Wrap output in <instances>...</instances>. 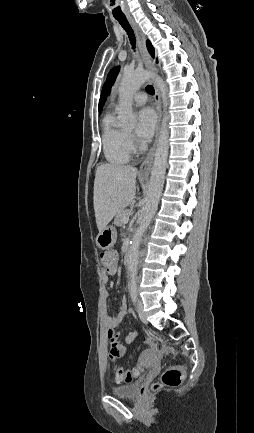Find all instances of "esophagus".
<instances>
[{
	"label": "esophagus",
	"mask_w": 254,
	"mask_h": 433,
	"mask_svg": "<svg viewBox=\"0 0 254 433\" xmlns=\"http://www.w3.org/2000/svg\"><path fill=\"white\" fill-rule=\"evenodd\" d=\"M130 22L132 23L134 30H135V33H136L138 46H139L145 67L150 72H152L153 74H156L157 68L155 66V63L152 61L151 56L149 55V53L147 51L145 36H144L143 32L141 31V29L139 28V26L132 19H130ZM152 83H153V87L155 90L154 100H155V107H156V111H157V115H158V123H157V129H156V134H155V140H154L151 148L149 149L144 161L140 165L139 176L142 178H148L150 170H151V166H152L154 155H155V150H156L157 143H158L159 130H160V124H161V117H162L160 92H159L158 86L154 82V80L152 81Z\"/></svg>",
	"instance_id": "obj_1"
}]
</instances>
